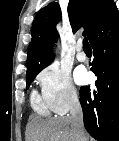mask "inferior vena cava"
Wrapping results in <instances>:
<instances>
[{
    "mask_svg": "<svg viewBox=\"0 0 119 141\" xmlns=\"http://www.w3.org/2000/svg\"><path fill=\"white\" fill-rule=\"evenodd\" d=\"M70 118L73 122L74 129L77 133L79 141H87L85 139L83 112L76 93H72L69 98Z\"/></svg>",
    "mask_w": 119,
    "mask_h": 141,
    "instance_id": "1",
    "label": "inferior vena cava"
}]
</instances>
